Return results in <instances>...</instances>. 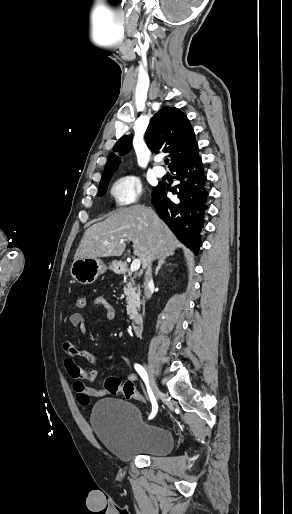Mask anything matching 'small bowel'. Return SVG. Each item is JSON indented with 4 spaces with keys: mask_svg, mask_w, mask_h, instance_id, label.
Instances as JSON below:
<instances>
[{
    "mask_svg": "<svg viewBox=\"0 0 292 514\" xmlns=\"http://www.w3.org/2000/svg\"><path fill=\"white\" fill-rule=\"evenodd\" d=\"M93 304L103 309L104 315L108 320H113L116 317L114 306L105 297L97 296ZM69 320L73 327L84 329V317L82 314L73 313L70 315ZM62 350L64 353V368L72 380L73 389L77 393L80 404L85 406L89 404L91 398H101L107 395L108 392L105 389L85 384V379L96 380L98 375L93 370H81L76 364V358L77 356H81L92 364L103 365L112 359V355L108 353L105 356H100L92 351L80 349L71 340H65L63 342ZM121 362L128 369L126 382L133 384L137 376L135 372L129 368L127 357L123 356Z\"/></svg>",
    "mask_w": 292,
    "mask_h": 514,
    "instance_id": "c3829d8e",
    "label": "small bowel"
}]
</instances>
